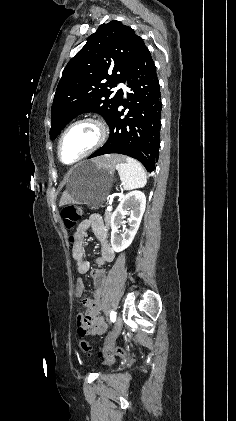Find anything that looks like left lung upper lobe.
<instances>
[{
  "label": "left lung upper lobe",
  "instance_id": "5c2ea615",
  "mask_svg": "<svg viewBox=\"0 0 236 421\" xmlns=\"http://www.w3.org/2000/svg\"><path fill=\"white\" fill-rule=\"evenodd\" d=\"M143 44L131 27L116 20L100 25L89 36L58 83L51 108V139L82 113L96 112L110 121L123 94L121 89L116 93L110 89L125 82Z\"/></svg>",
  "mask_w": 236,
  "mask_h": 421
}]
</instances>
